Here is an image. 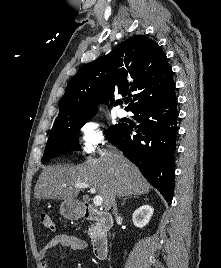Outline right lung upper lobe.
I'll list each match as a JSON object with an SVG mask.
<instances>
[{
	"label": "right lung upper lobe",
	"instance_id": "right-lung-upper-lobe-1",
	"mask_svg": "<svg viewBox=\"0 0 221 268\" xmlns=\"http://www.w3.org/2000/svg\"><path fill=\"white\" fill-rule=\"evenodd\" d=\"M174 89L171 67L159 45L146 36H134L77 72L59 102L55 121L95 114L98 104L113 103L115 94L131 92L133 101L125 109L133 112L169 97Z\"/></svg>",
	"mask_w": 221,
	"mask_h": 268
}]
</instances>
